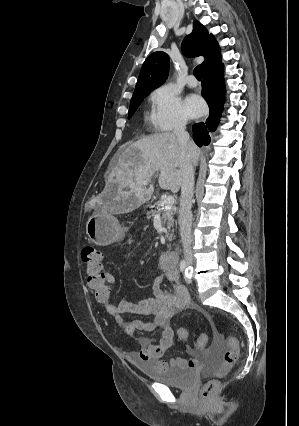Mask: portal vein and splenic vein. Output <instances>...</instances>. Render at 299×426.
<instances>
[{
    "mask_svg": "<svg viewBox=\"0 0 299 426\" xmlns=\"http://www.w3.org/2000/svg\"><path fill=\"white\" fill-rule=\"evenodd\" d=\"M148 184V182L147 181H144L143 182V185H147ZM174 197L173 196H167L164 200H163V202H162V204H161V207H162V209L164 210H167V209H170L171 207H172V205L174 204Z\"/></svg>",
    "mask_w": 299,
    "mask_h": 426,
    "instance_id": "18ae733b",
    "label": "portal vein and splenic vein"
}]
</instances>
